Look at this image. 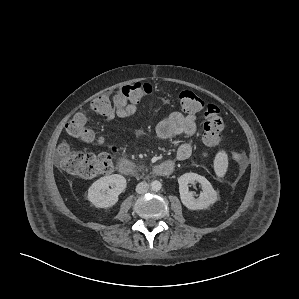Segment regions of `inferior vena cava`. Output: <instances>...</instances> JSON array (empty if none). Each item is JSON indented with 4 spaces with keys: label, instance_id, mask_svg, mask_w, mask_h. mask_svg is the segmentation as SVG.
Wrapping results in <instances>:
<instances>
[{
    "label": "inferior vena cava",
    "instance_id": "obj_1",
    "mask_svg": "<svg viewBox=\"0 0 299 299\" xmlns=\"http://www.w3.org/2000/svg\"><path fill=\"white\" fill-rule=\"evenodd\" d=\"M149 189V184L147 182H140L137 186H136V192L138 194H144L148 191Z\"/></svg>",
    "mask_w": 299,
    "mask_h": 299
}]
</instances>
